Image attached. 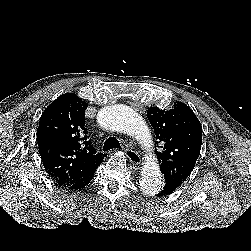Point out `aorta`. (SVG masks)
<instances>
[{"mask_svg": "<svg viewBox=\"0 0 251 251\" xmlns=\"http://www.w3.org/2000/svg\"><path fill=\"white\" fill-rule=\"evenodd\" d=\"M97 120L105 129L129 135L147 146L152 143L146 122L128 106L104 107L99 111ZM139 182L140 189L145 195L153 196L161 190L163 177L154 157L151 156V160L144 166Z\"/></svg>", "mask_w": 251, "mask_h": 251, "instance_id": "1", "label": "aorta"}]
</instances>
